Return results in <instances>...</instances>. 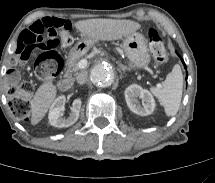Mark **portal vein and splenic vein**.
<instances>
[{"label":"portal vein and splenic vein","mask_w":215,"mask_h":183,"mask_svg":"<svg viewBox=\"0 0 215 183\" xmlns=\"http://www.w3.org/2000/svg\"><path fill=\"white\" fill-rule=\"evenodd\" d=\"M78 67L79 69H85L87 67V60L86 59H82L78 62Z\"/></svg>","instance_id":"portal-vein-and-splenic-vein-1"}]
</instances>
